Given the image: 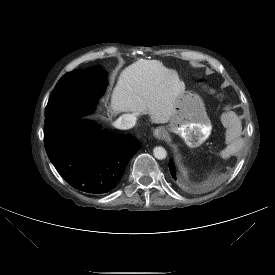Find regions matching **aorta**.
Listing matches in <instances>:
<instances>
[{"mask_svg":"<svg viewBox=\"0 0 275 275\" xmlns=\"http://www.w3.org/2000/svg\"><path fill=\"white\" fill-rule=\"evenodd\" d=\"M153 155L158 160H163L167 156V152L163 147L157 146L153 149Z\"/></svg>","mask_w":275,"mask_h":275,"instance_id":"aorta-1","label":"aorta"}]
</instances>
